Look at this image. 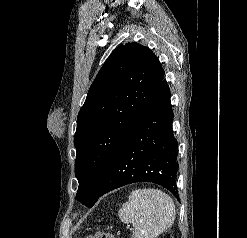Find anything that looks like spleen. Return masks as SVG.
I'll return each mask as SVG.
<instances>
[{"instance_id": "spleen-1", "label": "spleen", "mask_w": 247, "mask_h": 238, "mask_svg": "<svg viewBox=\"0 0 247 238\" xmlns=\"http://www.w3.org/2000/svg\"><path fill=\"white\" fill-rule=\"evenodd\" d=\"M175 213L171 197L153 188L132 191L118 211L123 223L133 225L132 238H156L172 226Z\"/></svg>"}]
</instances>
